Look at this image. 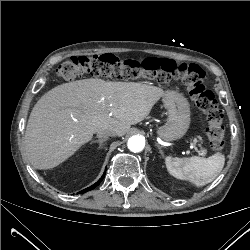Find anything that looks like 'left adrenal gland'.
<instances>
[{
	"mask_svg": "<svg viewBox=\"0 0 250 250\" xmlns=\"http://www.w3.org/2000/svg\"><path fill=\"white\" fill-rule=\"evenodd\" d=\"M156 146L158 147L159 152H160L161 156L163 157V156H164V154H163V150H162L161 146H160V145H158V144H156Z\"/></svg>",
	"mask_w": 250,
	"mask_h": 250,
	"instance_id": "a2214340",
	"label": "left adrenal gland"
}]
</instances>
